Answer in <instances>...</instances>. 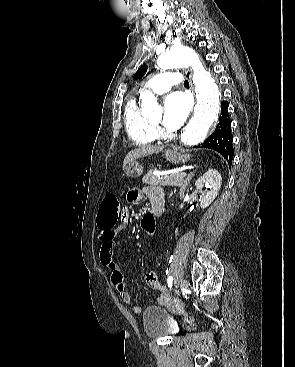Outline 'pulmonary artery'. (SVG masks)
<instances>
[{
  "label": "pulmonary artery",
  "instance_id": "pulmonary-artery-1",
  "mask_svg": "<svg viewBox=\"0 0 295 367\" xmlns=\"http://www.w3.org/2000/svg\"><path fill=\"white\" fill-rule=\"evenodd\" d=\"M181 82V75L177 72H163L148 81L146 87L156 94L168 92L172 86Z\"/></svg>",
  "mask_w": 295,
  "mask_h": 367
}]
</instances>
